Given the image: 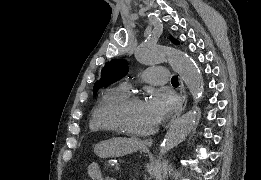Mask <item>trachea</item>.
<instances>
[{"instance_id":"1","label":"trachea","mask_w":261,"mask_h":180,"mask_svg":"<svg viewBox=\"0 0 261 180\" xmlns=\"http://www.w3.org/2000/svg\"><path fill=\"white\" fill-rule=\"evenodd\" d=\"M171 83H173V84H178V77H177V76H173V77L171 78Z\"/></svg>"}]
</instances>
